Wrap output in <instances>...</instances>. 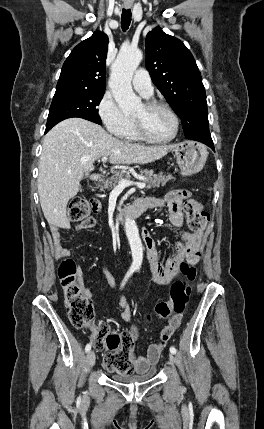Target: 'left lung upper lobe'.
<instances>
[{
	"instance_id": "obj_1",
	"label": "left lung upper lobe",
	"mask_w": 264,
	"mask_h": 429,
	"mask_svg": "<svg viewBox=\"0 0 264 429\" xmlns=\"http://www.w3.org/2000/svg\"><path fill=\"white\" fill-rule=\"evenodd\" d=\"M145 48L151 79L181 118L186 138L210 135L206 93L191 52L160 27L147 34Z\"/></svg>"
}]
</instances>
